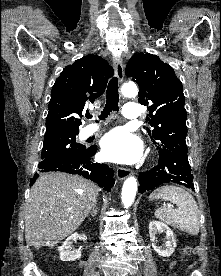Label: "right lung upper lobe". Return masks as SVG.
I'll return each mask as SVG.
<instances>
[{"instance_id":"1","label":"right lung upper lobe","mask_w":221,"mask_h":276,"mask_svg":"<svg viewBox=\"0 0 221 276\" xmlns=\"http://www.w3.org/2000/svg\"><path fill=\"white\" fill-rule=\"evenodd\" d=\"M113 68L90 54L67 66L55 81L46 118V134L78 132L87 103L104 93Z\"/></svg>"}]
</instances>
